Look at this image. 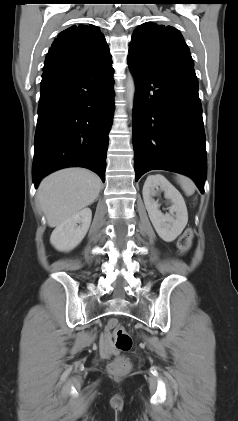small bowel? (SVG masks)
I'll return each instance as SVG.
<instances>
[{"instance_id": "obj_1", "label": "small bowel", "mask_w": 238, "mask_h": 421, "mask_svg": "<svg viewBox=\"0 0 238 421\" xmlns=\"http://www.w3.org/2000/svg\"><path fill=\"white\" fill-rule=\"evenodd\" d=\"M100 346L102 351L105 354H109L112 351V343H111V336L109 332H107L104 336H102L100 341Z\"/></svg>"}]
</instances>
